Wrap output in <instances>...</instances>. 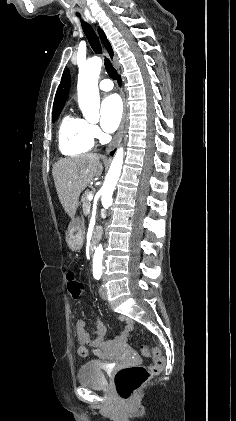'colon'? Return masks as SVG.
Instances as JSON below:
<instances>
[{
  "label": "colon",
  "mask_w": 236,
  "mask_h": 421,
  "mask_svg": "<svg viewBox=\"0 0 236 421\" xmlns=\"http://www.w3.org/2000/svg\"><path fill=\"white\" fill-rule=\"evenodd\" d=\"M68 290L70 295L75 299L79 298L84 291L83 283L74 272L68 274ZM141 353L145 357H153L154 362L151 366H126L119 369L114 376L116 391L120 398L125 401L129 400L133 393L152 375L159 374L164 368L165 358L159 348L151 350L149 346H143Z\"/></svg>",
  "instance_id": "colon-1"
}]
</instances>
